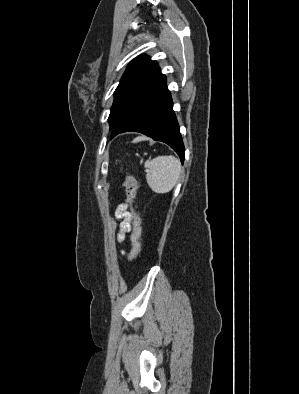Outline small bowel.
I'll list each match as a JSON object with an SVG mask.
<instances>
[{
	"instance_id": "1",
	"label": "small bowel",
	"mask_w": 299,
	"mask_h": 394,
	"mask_svg": "<svg viewBox=\"0 0 299 394\" xmlns=\"http://www.w3.org/2000/svg\"><path fill=\"white\" fill-rule=\"evenodd\" d=\"M115 216L120 220V230L117 235V241L121 243L125 240L126 234L132 230V215L128 210V205L125 203L120 204L115 211Z\"/></svg>"
}]
</instances>
